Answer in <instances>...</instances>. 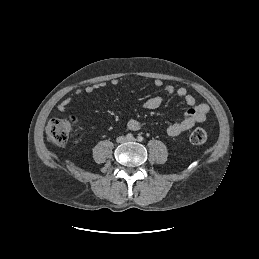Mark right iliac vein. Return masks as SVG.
I'll use <instances>...</instances> for the list:
<instances>
[{
  "label": "right iliac vein",
  "mask_w": 259,
  "mask_h": 259,
  "mask_svg": "<svg viewBox=\"0 0 259 259\" xmlns=\"http://www.w3.org/2000/svg\"><path fill=\"white\" fill-rule=\"evenodd\" d=\"M126 139L123 137V136H121V137H119L118 139H117V141L119 142V143H122V142H124Z\"/></svg>",
  "instance_id": "1"
}]
</instances>
